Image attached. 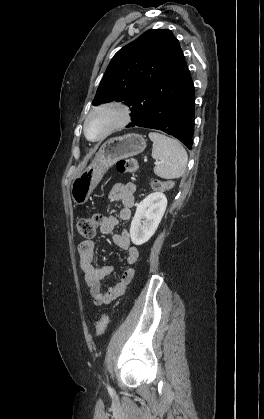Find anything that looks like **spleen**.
Masks as SVG:
<instances>
[{
  "instance_id": "1",
  "label": "spleen",
  "mask_w": 264,
  "mask_h": 419,
  "mask_svg": "<svg viewBox=\"0 0 264 419\" xmlns=\"http://www.w3.org/2000/svg\"><path fill=\"white\" fill-rule=\"evenodd\" d=\"M153 142L152 157L158 161L154 173L164 179L181 177L187 167L188 155L182 144L164 134L150 132Z\"/></svg>"
}]
</instances>
